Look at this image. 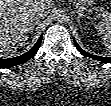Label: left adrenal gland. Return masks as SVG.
<instances>
[{
	"mask_svg": "<svg viewBox=\"0 0 111 106\" xmlns=\"http://www.w3.org/2000/svg\"><path fill=\"white\" fill-rule=\"evenodd\" d=\"M75 13H77V20L78 22L82 17H86L87 19H90L86 14H83L79 9L74 10Z\"/></svg>",
	"mask_w": 111,
	"mask_h": 106,
	"instance_id": "1",
	"label": "left adrenal gland"
}]
</instances>
